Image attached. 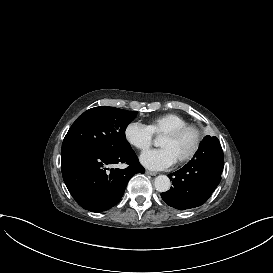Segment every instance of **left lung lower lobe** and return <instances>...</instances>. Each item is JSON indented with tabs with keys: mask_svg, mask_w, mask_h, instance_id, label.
I'll return each instance as SVG.
<instances>
[{
	"mask_svg": "<svg viewBox=\"0 0 273 273\" xmlns=\"http://www.w3.org/2000/svg\"><path fill=\"white\" fill-rule=\"evenodd\" d=\"M224 155L217 137L206 136L194 157L180 170L169 174L173 186L161 197L169 206L185 210L204 204L221 180Z\"/></svg>",
	"mask_w": 273,
	"mask_h": 273,
	"instance_id": "obj_1",
	"label": "left lung lower lobe"
}]
</instances>
